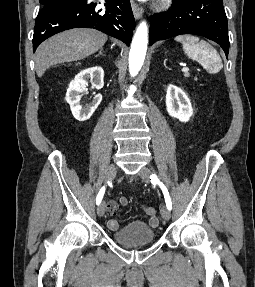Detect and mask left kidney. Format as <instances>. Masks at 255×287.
<instances>
[{"instance_id": "5707ae66", "label": "left kidney", "mask_w": 255, "mask_h": 287, "mask_svg": "<svg viewBox=\"0 0 255 287\" xmlns=\"http://www.w3.org/2000/svg\"><path fill=\"white\" fill-rule=\"evenodd\" d=\"M166 110L172 118L180 122H188L193 114L191 102L185 92L173 84H169L166 94Z\"/></svg>"}]
</instances>
